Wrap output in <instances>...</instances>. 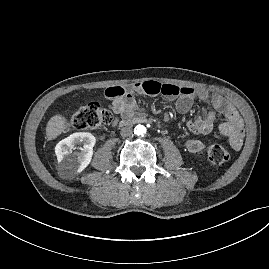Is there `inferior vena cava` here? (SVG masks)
I'll use <instances>...</instances> for the list:
<instances>
[{"instance_id":"inferior-vena-cava-1","label":"inferior vena cava","mask_w":269,"mask_h":269,"mask_svg":"<svg viewBox=\"0 0 269 269\" xmlns=\"http://www.w3.org/2000/svg\"><path fill=\"white\" fill-rule=\"evenodd\" d=\"M120 134L123 136V137H129L133 134L132 132V128L127 126V127H123L120 131Z\"/></svg>"}]
</instances>
